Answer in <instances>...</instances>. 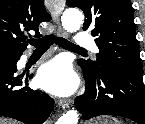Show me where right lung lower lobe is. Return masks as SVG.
<instances>
[{
	"label": "right lung lower lobe",
	"instance_id": "1",
	"mask_svg": "<svg viewBox=\"0 0 145 124\" xmlns=\"http://www.w3.org/2000/svg\"><path fill=\"white\" fill-rule=\"evenodd\" d=\"M21 55L0 57V116L27 124H42L52 112L54 101L46 93L27 87L31 76L15 75ZM22 84L26 86L19 88Z\"/></svg>",
	"mask_w": 145,
	"mask_h": 124
}]
</instances>
